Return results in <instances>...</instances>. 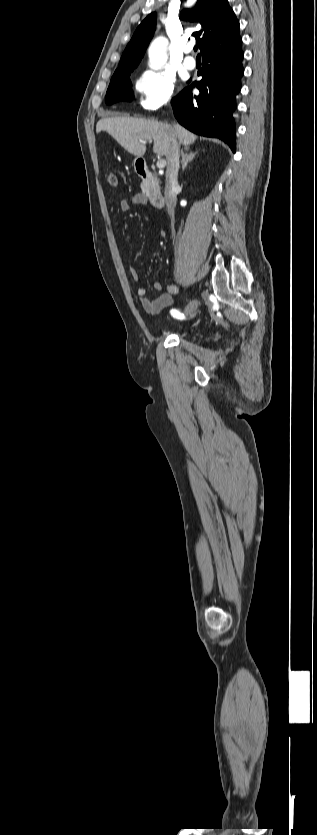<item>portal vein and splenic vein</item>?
Instances as JSON below:
<instances>
[{
  "label": "portal vein and splenic vein",
  "instance_id": "obj_1",
  "mask_svg": "<svg viewBox=\"0 0 317 835\" xmlns=\"http://www.w3.org/2000/svg\"><path fill=\"white\" fill-rule=\"evenodd\" d=\"M140 142H141V143H146V142H145V141H143V140H140ZM165 166H166V160L162 159V160H159V161L157 162V167H158V168H164Z\"/></svg>",
  "mask_w": 317,
  "mask_h": 835
}]
</instances>
